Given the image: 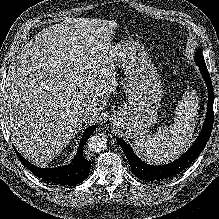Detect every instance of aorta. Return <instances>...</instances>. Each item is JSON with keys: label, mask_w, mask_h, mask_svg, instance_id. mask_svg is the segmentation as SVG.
Masks as SVG:
<instances>
[{"label": "aorta", "mask_w": 219, "mask_h": 219, "mask_svg": "<svg viewBox=\"0 0 219 219\" xmlns=\"http://www.w3.org/2000/svg\"><path fill=\"white\" fill-rule=\"evenodd\" d=\"M88 149L91 152L99 153L107 146V139L102 134H95L88 139Z\"/></svg>", "instance_id": "1"}]
</instances>
